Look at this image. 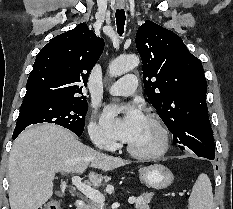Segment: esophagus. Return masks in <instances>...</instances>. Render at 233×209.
Returning <instances> with one entry per match:
<instances>
[{
  "label": "esophagus",
  "instance_id": "esophagus-1",
  "mask_svg": "<svg viewBox=\"0 0 233 209\" xmlns=\"http://www.w3.org/2000/svg\"><path fill=\"white\" fill-rule=\"evenodd\" d=\"M120 8H122L123 6L122 5H119Z\"/></svg>",
  "mask_w": 233,
  "mask_h": 209
}]
</instances>
